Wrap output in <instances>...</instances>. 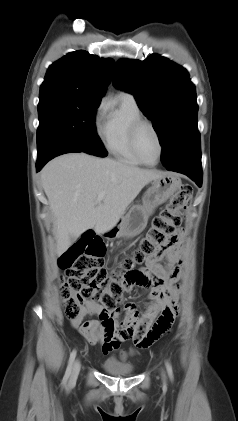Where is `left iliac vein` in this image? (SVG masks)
<instances>
[{
  "label": "left iliac vein",
  "instance_id": "obj_1",
  "mask_svg": "<svg viewBox=\"0 0 238 421\" xmlns=\"http://www.w3.org/2000/svg\"><path fill=\"white\" fill-rule=\"evenodd\" d=\"M162 377H163V379H165V375L164 374H162Z\"/></svg>",
  "mask_w": 238,
  "mask_h": 421
}]
</instances>
